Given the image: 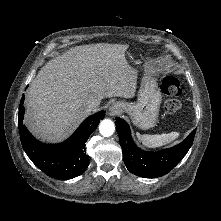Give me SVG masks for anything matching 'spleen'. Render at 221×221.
<instances>
[{"instance_id":"3e777b00","label":"spleen","mask_w":221,"mask_h":221,"mask_svg":"<svg viewBox=\"0 0 221 221\" xmlns=\"http://www.w3.org/2000/svg\"><path fill=\"white\" fill-rule=\"evenodd\" d=\"M136 136L138 140L142 142V144L145 147L157 148L178 138L179 132H171L168 134L164 133V134H156V135H148V134L141 135L140 133H136Z\"/></svg>"}]
</instances>
